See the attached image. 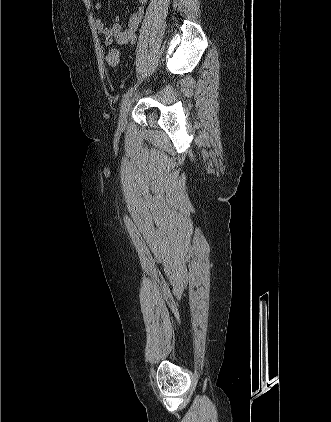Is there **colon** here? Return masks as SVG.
Masks as SVG:
<instances>
[{"instance_id":"5ec220e1","label":"colon","mask_w":331,"mask_h":422,"mask_svg":"<svg viewBox=\"0 0 331 422\" xmlns=\"http://www.w3.org/2000/svg\"><path fill=\"white\" fill-rule=\"evenodd\" d=\"M107 64L112 70H116L119 65V54L117 51H110L107 55Z\"/></svg>"}]
</instances>
